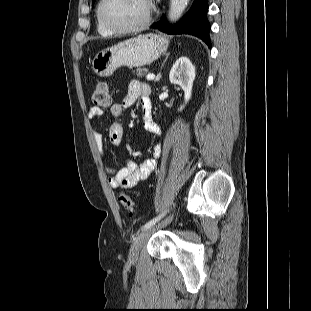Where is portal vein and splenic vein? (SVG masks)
<instances>
[{
  "mask_svg": "<svg viewBox=\"0 0 311 311\" xmlns=\"http://www.w3.org/2000/svg\"><path fill=\"white\" fill-rule=\"evenodd\" d=\"M146 79H147L148 81L154 80V79H155V75H154V74H148V75L146 76Z\"/></svg>",
  "mask_w": 311,
  "mask_h": 311,
  "instance_id": "portal-vein-and-splenic-vein-1",
  "label": "portal vein and splenic vein"
}]
</instances>
